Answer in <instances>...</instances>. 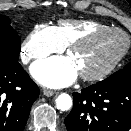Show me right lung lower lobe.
I'll list each match as a JSON object with an SVG mask.
<instances>
[{"label":"right lung lower lobe","instance_id":"1","mask_svg":"<svg viewBox=\"0 0 131 131\" xmlns=\"http://www.w3.org/2000/svg\"><path fill=\"white\" fill-rule=\"evenodd\" d=\"M39 88L19 63L0 67V131H22Z\"/></svg>","mask_w":131,"mask_h":131}]
</instances>
